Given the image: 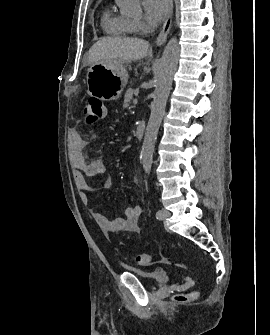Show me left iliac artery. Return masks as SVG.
I'll return each mask as SVG.
<instances>
[{"label":"left iliac artery","instance_id":"obj_1","mask_svg":"<svg viewBox=\"0 0 270 335\" xmlns=\"http://www.w3.org/2000/svg\"><path fill=\"white\" fill-rule=\"evenodd\" d=\"M160 215H161V210L157 211L156 217L158 218V217H160Z\"/></svg>","mask_w":270,"mask_h":335}]
</instances>
